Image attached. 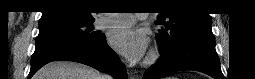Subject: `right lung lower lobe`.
<instances>
[{
  "label": "right lung lower lobe",
  "instance_id": "obj_1",
  "mask_svg": "<svg viewBox=\"0 0 255 79\" xmlns=\"http://www.w3.org/2000/svg\"><path fill=\"white\" fill-rule=\"evenodd\" d=\"M57 60L83 63L104 72L111 73L116 79H126V69L120 63L101 34L90 42H74L63 39H50L36 43L31 58L30 79L43 65Z\"/></svg>",
  "mask_w": 255,
  "mask_h": 79
}]
</instances>
